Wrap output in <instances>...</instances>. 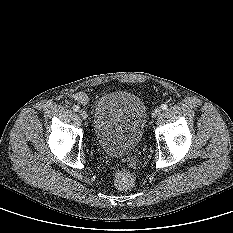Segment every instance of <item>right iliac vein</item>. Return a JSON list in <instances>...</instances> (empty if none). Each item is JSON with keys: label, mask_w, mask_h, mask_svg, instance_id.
<instances>
[{"label": "right iliac vein", "mask_w": 233, "mask_h": 233, "mask_svg": "<svg viewBox=\"0 0 233 233\" xmlns=\"http://www.w3.org/2000/svg\"><path fill=\"white\" fill-rule=\"evenodd\" d=\"M79 115L83 120H86L88 117L87 113L84 110H80Z\"/></svg>", "instance_id": "obj_1"}]
</instances>
